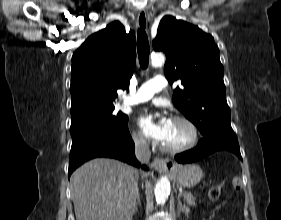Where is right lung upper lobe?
I'll list each match as a JSON object with an SVG mask.
<instances>
[{"label": "right lung upper lobe", "instance_id": "right-lung-upper-lobe-1", "mask_svg": "<svg viewBox=\"0 0 281 220\" xmlns=\"http://www.w3.org/2000/svg\"><path fill=\"white\" fill-rule=\"evenodd\" d=\"M136 40L119 21L92 34L72 56L71 118L114 109L117 89H129Z\"/></svg>", "mask_w": 281, "mask_h": 220}]
</instances>
